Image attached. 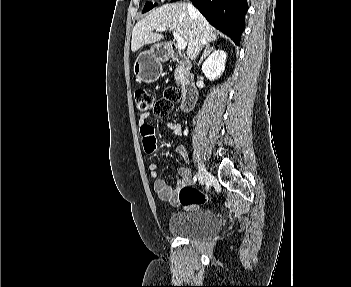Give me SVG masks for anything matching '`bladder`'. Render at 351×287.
<instances>
[{"instance_id":"obj_1","label":"bladder","mask_w":351,"mask_h":287,"mask_svg":"<svg viewBox=\"0 0 351 287\" xmlns=\"http://www.w3.org/2000/svg\"><path fill=\"white\" fill-rule=\"evenodd\" d=\"M168 229L179 237L206 239L219 231L220 221L211 210L178 211L171 214Z\"/></svg>"}]
</instances>
